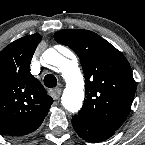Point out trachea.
I'll use <instances>...</instances> for the list:
<instances>
[{
  "label": "trachea",
  "mask_w": 145,
  "mask_h": 145,
  "mask_svg": "<svg viewBox=\"0 0 145 145\" xmlns=\"http://www.w3.org/2000/svg\"><path fill=\"white\" fill-rule=\"evenodd\" d=\"M44 85L48 88H54L57 86V79L54 75L52 74H47L44 77Z\"/></svg>",
  "instance_id": "obj_1"
}]
</instances>
